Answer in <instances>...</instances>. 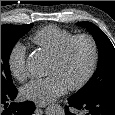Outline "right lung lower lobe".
<instances>
[{
    "instance_id": "98d812e1",
    "label": "right lung lower lobe",
    "mask_w": 115,
    "mask_h": 115,
    "mask_svg": "<svg viewBox=\"0 0 115 115\" xmlns=\"http://www.w3.org/2000/svg\"><path fill=\"white\" fill-rule=\"evenodd\" d=\"M17 95L16 87H12L8 90L1 91V115H30L35 110V105L32 101H25L20 103H11L8 106L10 100H14Z\"/></svg>"
}]
</instances>
